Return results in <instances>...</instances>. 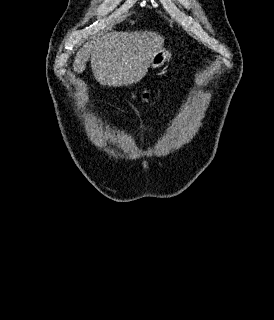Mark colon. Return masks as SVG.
<instances>
[{
	"label": "colon",
	"instance_id": "5ec220e1",
	"mask_svg": "<svg viewBox=\"0 0 274 320\" xmlns=\"http://www.w3.org/2000/svg\"><path fill=\"white\" fill-rule=\"evenodd\" d=\"M141 96H142V99L146 101L154 99V96L150 95L147 91H143Z\"/></svg>",
	"mask_w": 274,
	"mask_h": 320
}]
</instances>
